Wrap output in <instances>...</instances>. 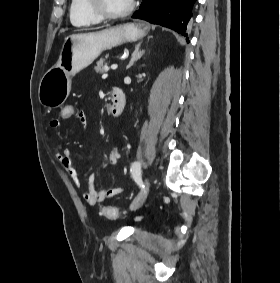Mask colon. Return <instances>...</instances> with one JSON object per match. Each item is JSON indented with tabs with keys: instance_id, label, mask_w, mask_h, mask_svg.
<instances>
[{
	"instance_id": "5ec220e1",
	"label": "colon",
	"mask_w": 280,
	"mask_h": 283,
	"mask_svg": "<svg viewBox=\"0 0 280 283\" xmlns=\"http://www.w3.org/2000/svg\"><path fill=\"white\" fill-rule=\"evenodd\" d=\"M78 108L74 103H63L59 108V119H73ZM103 215L106 219L116 220L119 217V209L115 206H108L103 209Z\"/></svg>"
}]
</instances>
